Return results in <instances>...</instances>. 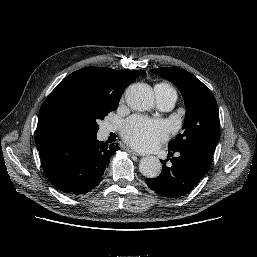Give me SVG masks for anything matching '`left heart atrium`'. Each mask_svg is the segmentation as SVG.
<instances>
[{"mask_svg":"<svg viewBox=\"0 0 257 257\" xmlns=\"http://www.w3.org/2000/svg\"><path fill=\"white\" fill-rule=\"evenodd\" d=\"M123 138L137 150L150 151L167 140L168 127L160 120L133 116L125 124Z\"/></svg>","mask_w":257,"mask_h":257,"instance_id":"39dd6f15","label":"left heart atrium"}]
</instances>
